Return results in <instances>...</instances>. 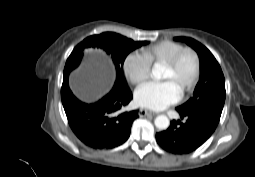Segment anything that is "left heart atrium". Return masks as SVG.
<instances>
[{
	"mask_svg": "<svg viewBox=\"0 0 255 177\" xmlns=\"http://www.w3.org/2000/svg\"><path fill=\"white\" fill-rule=\"evenodd\" d=\"M180 98V90L169 80L150 81L141 85L136 93L138 105L153 110H162L176 103Z\"/></svg>",
	"mask_w": 255,
	"mask_h": 177,
	"instance_id": "39dd6f15",
	"label": "left heart atrium"
}]
</instances>
